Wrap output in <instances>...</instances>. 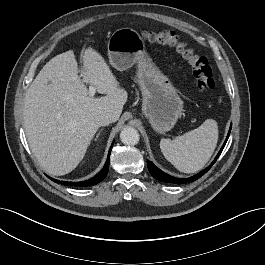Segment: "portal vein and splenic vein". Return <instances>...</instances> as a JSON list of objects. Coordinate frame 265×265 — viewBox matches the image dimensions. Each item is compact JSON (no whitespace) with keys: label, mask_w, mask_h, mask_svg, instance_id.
Here are the masks:
<instances>
[{"label":"portal vein and splenic vein","mask_w":265,"mask_h":265,"mask_svg":"<svg viewBox=\"0 0 265 265\" xmlns=\"http://www.w3.org/2000/svg\"><path fill=\"white\" fill-rule=\"evenodd\" d=\"M96 93V88L93 85L89 86V95L94 96Z\"/></svg>","instance_id":"18ae733b"}]
</instances>
